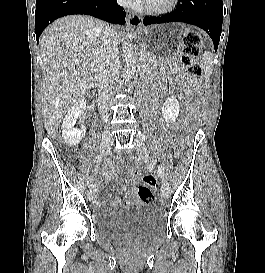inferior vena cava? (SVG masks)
Returning a JSON list of instances; mask_svg holds the SVG:
<instances>
[{
    "instance_id": "602c4592",
    "label": "inferior vena cava",
    "mask_w": 265,
    "mask_h": 273,
    "mask_svg": "<svg viewBox=\"0 0 265 273\" xmlns=\"http://www.w3.org/2000/svg\"><path fill=\"white\" fill-rule=\"evenodd\" d=\"M120 5L126 6L127 0H118ZM118 40L114 33V30L105 26L101 34V64L98 73V79L100 81L98 90V109L103 120H108L109 100L112 94L114 77L118 71ZM108 134L109 131L106 128L104 131Z\"/></svg>"
}]
</instances>
